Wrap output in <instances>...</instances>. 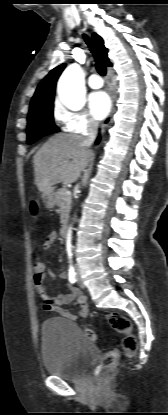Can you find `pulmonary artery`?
Segmentation results:
<instances>
[{
  "label": "pulmonary artery",
  "mask_w": 168,
  "mask_h": 415,
  "mask_svg": "<svg viewBox=\"0 0 168 415\" xmlns=\"http://www.w3.org/2000/svg\"><path fill=\"white\" fill-rule=\"evenodd\" d=\"M88 84L92 89H99L103 86V80L98 74L89 77Z\"/></svg>",
  "instance_id": "1"
}]
</instances>
